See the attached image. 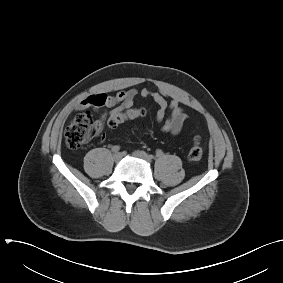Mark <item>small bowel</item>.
Masks as SVG:
<instances>
[{
	"label": "small bowel",
	"mask_w": 283,
	"mask_h": 283,
	"mask_svg": "<svg viewBox=\"0 0 283 283\" xmlns=\"http://www.w3.org/2000/svg\"><path fill=\"white\" fill-rule=\"evenodd\" d=\"M140 96L142 98H151L158 110L156 112V121L161 126V131L171 135H177L187 119V114L181 106L180 100L176 97H170L165 90H151L142 88L140 90L131 88L121 90L115 95H107L105 93L91 94L75 106L78 111L93 108L95 110H103L99 119L95 122L96 133H99L107 118L109 119L116 113L133 108L135 99ZM106 109H110L107 111ZM168 113V116H167Z\"/></svg>",
	"instance_id": "c3829d8e"
}]
</instances>
